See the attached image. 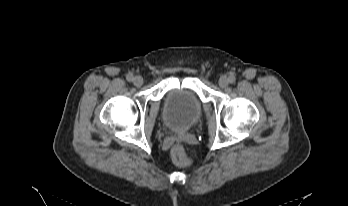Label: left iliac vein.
<instances>
[{
	"instance_id": "4c4485c4",
	"label": "left iliac vein",
	"mask_w": 348,
	"mask_h": 206,
	"mask_svg": "<svg viewBox=\"0 0 348 206\" xmlns=\"http://www.w3.org/2000/svg\"><path fill=\"white\" fill-rule=\"evenodd\" d=\"M229 84V79L226 76H222L219 79V86L221 88H226Z\"/></svg>"
}]
</instances>
